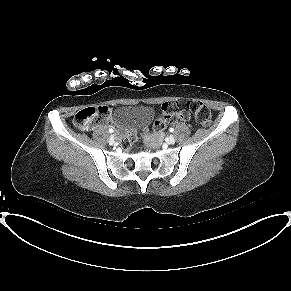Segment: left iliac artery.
<instances>
[{
    "instance_id": "44dca946",
    "label": "left iliac artery",
    "mask_w": 291,
    "mask_h": 291,
    "mask_svg": "<svg viewBox=\"0 0 291 291\" xmlns=\"http://www.w3.org/2000/svg\"><path fill=\"white\" fill-rule=\"evenodd\" d=\"M169 131H170V132H174V128H170Z\"/></svg>"
}]
</instances>
